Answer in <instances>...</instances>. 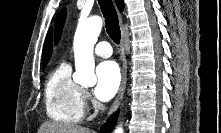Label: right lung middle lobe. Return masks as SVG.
Masks as SVG:
<instances>
[{
	"label": "right lung middle lobe",
	"mask_w": 221,
	"mask_h": 133,
	"mask_svg": "<svg viewBox=\"0 0 221 133\" xmlns=\"http://www.w3.org/2000/svg\"><path fill=\"white\" fill-rule=\"evenodd\" d=\"M45 65H46V64L43 65V69L45 68Z\"/></svg>",
	"instance_id": "right-lung-middle-lobe-1"
}]
</instances>
